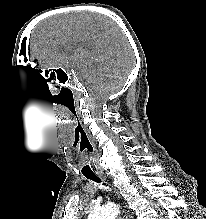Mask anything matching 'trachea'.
Masks as SVG:
<instances>
[{
    "instance_id": "trachea-1",
    "label": "trachea",
    "mask_w": 206,
    "mask_h": 219,
    "mask_svg": "<svg viewBox=\"0 0 206 219\" xmlns=\"http://www.w3.org/2000/svg\"><path fill=\"white\" fill-rule=\"evenodd\" d=\"M85 177H86L87 179H90V180L96 182V183H100V179H99L96 175H94V174L85 175Z\"/></svg>"
}]
</instances>
